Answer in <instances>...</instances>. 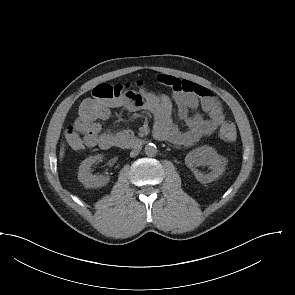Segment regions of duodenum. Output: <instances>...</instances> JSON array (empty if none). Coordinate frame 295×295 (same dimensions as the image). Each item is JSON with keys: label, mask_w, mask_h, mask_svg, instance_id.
Returning <instances> with one entry per match:
<instances>
[{"label": "duodenum", "mask_w": 295, "mask_h": 295, "mask_svg": "<svg viewBox=\"0 0 295 295\" xmlns=\"http://www.w3.org/2000/svg\"><path fill=\"white\" fill-rule=\"evenodd\" d=\"M158 140H162V139L159 138ZM144 144H145L144 139L135 137L134 135L130 133H123L117 137L114 146L121 147V148H134V147L142 146Z\"/></svg>", "instance_id": "410a0bca"}]
</instances>
